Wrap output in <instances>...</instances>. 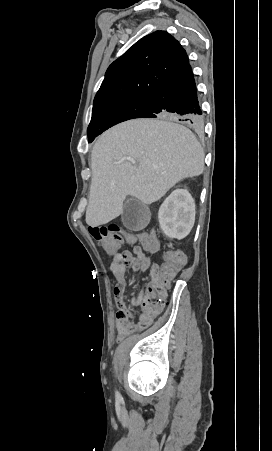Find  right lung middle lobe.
I'll return each instance as SVG.
<instances>
[{
  "label": "right lung middle lobe",
  "mask_w": 272,
  "mask_h": 451,
  "mask_svg": "<svg viewBox=\"0 0 272 451\" xmlns=\"http://www.w3.org/2000/svg\"><path fill=\"white\" fill-rule=\"evenodd\" d=\"M150 96L123 97L93 106L91 122L88 126V142L108 128L136 118L149 103Z\"/></svg>",
  "instance_id": "dd1d6c3e"
}]
</instances>
